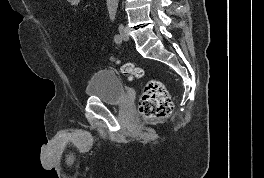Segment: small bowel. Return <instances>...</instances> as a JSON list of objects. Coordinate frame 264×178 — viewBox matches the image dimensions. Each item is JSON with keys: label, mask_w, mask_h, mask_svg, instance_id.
<instances>
[{"label": "small bowel", "mask_w": 264, "mask_h": 178, "mask_svg": "<svg viewBox=\"0 0 264 178\" xmlns=\"http://www.w3.org/2000/svg\"><path fill=\"white\" fill-rule=\"evenodd\" d=\"M70 7L76 9L80 6L82 0H66Z\"/></svg>", "instance_id": "small-bowel-1"}]
</instances>
